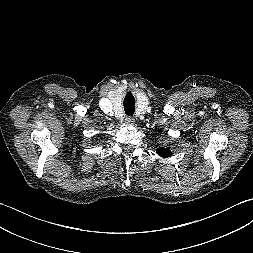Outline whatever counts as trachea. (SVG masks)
Listing matches in <instances>:
<instances>
[{"mask_svg":"<svg viewBox=\"0 0 253 253\" xmlns=\"http://www.w3.org/2000/svg\"><path fill=\"white\" fill-rule=\"evenodd\" d=\"M123 105L125 113L128 116H132L135 112V99L131 93H127L126 97L124 98Z\"/></svg>","mask_w":253,"mask_h":253,"instance_id":"1","label":"trachea"}]
</instances>
